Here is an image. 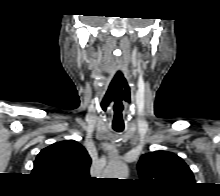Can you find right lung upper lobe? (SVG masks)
<instances>
[{
	"label": "right lung upper lobe",
	"mask_w": 220,
	"mask_h": 196,
	"mask_svg": "<svg viewBox=\"0 0 220 196\" xmlns=\"http://www.w3.org/2000/svg\"><path fill=\"white\" fill-rule=\"evenodd\" d=\"M91 158L77 141L56 142L43 149L34 162L32 174L49 182L75 185L89 177Z\"/></svg>",
	"instance_id": "cb5924a9"
}]
</instances>
